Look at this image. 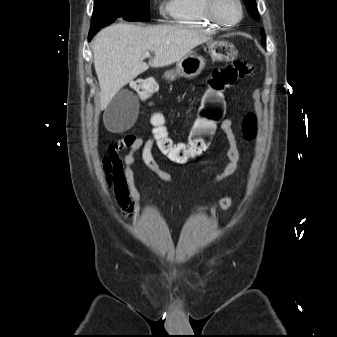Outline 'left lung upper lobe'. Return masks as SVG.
<instances>
[{"label": "left lung upper lobe", "mask_w": 337, "mask_h": 337, "mask_svg": "<svg viewBox=\"0 0 337 337\" xmlns=\"http://www.w3.org/2000/svg\"><path fill=\"white\" fill-rule=\"evenodd\" d=\"M248 13L256 20H258V10L255 4V0H244ZM261 33L264 34L263 30ZM263 45H266L265 41H263Z\"/></svg>", "instance_id": "obj_1"}]
</instances>
